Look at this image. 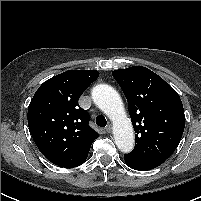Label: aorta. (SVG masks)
<instances>
[{"label":"aorta","instance_id":"1","mask_svg":"<svg viewBox=\"0 0 201 201\" xmlns=\"http://www.w3.org/2000/svg\"><path fill=\"white\" fill-rule=\"evenodd\" d=\"M94 103L113 122L115 144L124 153L134 148V130L125 113L122 99L118 92L107 84L96 85L91 92Z\"/></svg>","mask_w":201,"mask_h":201}]
</instances>
